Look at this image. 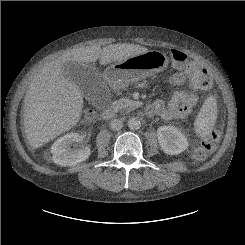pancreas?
Here are the masks:
<instances>
[{"label":"pancreas","mask_w":245,"mask_h":245,"mask_svg":"<svg viewBox=\"0 0 245 245\" xmlns=\"http://www.w3.org/2000/svg\"><path fill=\"white\" fill-rule=\"evenodd\" d=\"M139 107L138 101H133L128 98H121L115 102L114 108L116 110L125 109L126 111H131Z\"/></svg>","instance_id":"1"}]
</instances>
